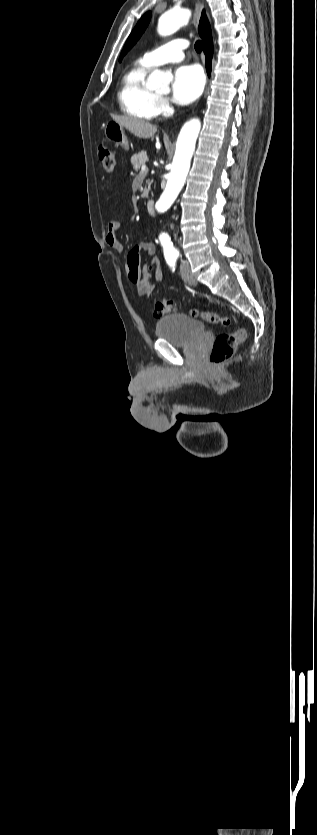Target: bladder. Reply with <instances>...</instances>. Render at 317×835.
<instances>
[{"label":"bladder","mask_w":317,"mask_h":835,"mask_svg":"<svg viewBox=\"0 0 317 835\" xmlns=\"http://www.w3.org/2000/svg\"><path fill=\"white\" fill-rule=\"evenodd\" d=\"M205 325L185 314H168L157 323L155 333L158 338L178 346H187L205 334Z\"/></svg>","instance_id":"31cf9c89"}]
</instances>
